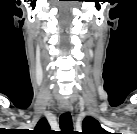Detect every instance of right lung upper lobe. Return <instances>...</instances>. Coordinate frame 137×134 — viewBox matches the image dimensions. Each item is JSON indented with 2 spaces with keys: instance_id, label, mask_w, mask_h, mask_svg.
<instances>
[{
  "instance_id": "right-lung-upper-lobe-1",
  "label": "right lung upper lobe",
  "mask_w": 137,
  "mask_h": 134,
  "mask_svg": "<svg viewBox=\"0 0 137 134\" xmlns=\"http://www.w3.org/2000/svg\"><path fill=\"white\" fill-rule=\"evenodd\" d=\"M33 134H49L50 126L45 118H42L37 123L35 129L32 131Z\"/></svg>"
}]
</instances>
